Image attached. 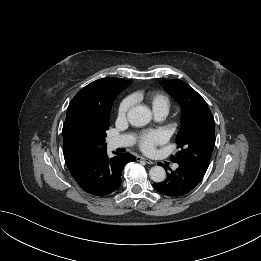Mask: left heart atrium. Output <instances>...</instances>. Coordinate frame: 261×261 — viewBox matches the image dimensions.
<instances>
[{
  "label": "left heart atrium",
  "instance_id": "obj_1",
  "mask_svg": "<svg viewBox=\"0 0 261 261\" xmlns=\"http://www.w3.org/2000/svg\"><path fill=\"white\" fill-rule=\"evenodd\" d=\"M165 140V134L159 130L145 131L138 135V146L143 152L150 153Z\"/></svg>",
  "mask_w": 261,
  "mask_h": 261
}]
</instances>
